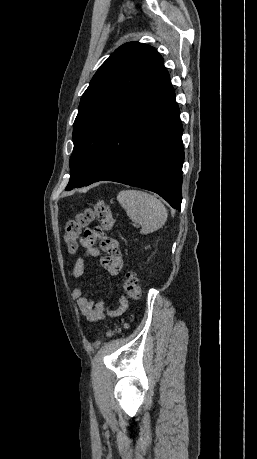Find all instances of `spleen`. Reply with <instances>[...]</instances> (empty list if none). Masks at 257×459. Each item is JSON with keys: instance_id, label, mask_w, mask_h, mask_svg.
<instances>
[{"instance_id": "3e777b00", "label": "spleen", "mask_w": 257, "mask_h": 459, "mask_svg": "<svg viewBox=\"0 0 257 459\" xmlns=\"http://www.w3.org/2000/svg\"><path fill=\"white\" fill-rule=\"evenodd\" d=\"M117 200L127 216L141 225V233L148 234L160 229L166 222L167 209L154 195L140 190H122Z\"/></svg>"}]
</instances>
